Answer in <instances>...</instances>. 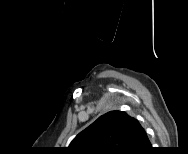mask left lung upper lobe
I'll list each match as a JSON object with an SVG mask.
<instances>
[{
	"instance_id": "obj_1",
	"label": "left lung upper lobe",
	"mask_w": 188,
	"mask_h": 154,
	"mask_svg": "<svg viewBox=\"0 0 188 154\" xmlns=\"http://www.w3.org/2000/svg\"><path fill=\"white\" fill-rule=\"evenodd\" d=\"M135 123L136 119L125 112H108L80 132L69 149L78 154H127Z\"/></svg>"
}]
</instances>
